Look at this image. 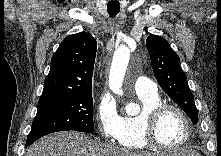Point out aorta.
Listing matches in <instances>:
<instances>
[{
  "label": "aorta",
  "instance_id": "aorta-1",
  "mask_svg": "<svg viewBox=\"0 0 221 156\" xmlns=\"http://www.w3.org/2000/svg\"><path fill=\"white\" fill-rule=\"evenodd\" d=\"M130 59V49L127 45L121 44L115 51L109 73V88L117 95H123L122 83ZM125 111L128 115H137L140 112L138 105L130 103Z\"/></svg>",
  "mask_w": 221,
  "mask_h": 156
}]
</instances>
